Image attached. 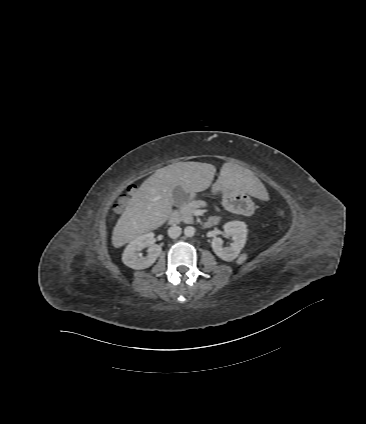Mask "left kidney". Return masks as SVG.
Returning a JSON list of instances; mask_svg holds the SVG:
<instances>
[{
    "instance_id": "1",
    "label": "left kidney",
    "mask_w": 366,
    "mask_h": 424,
    "mask_svg": "<svg viewBox=\"0 0 366 424\" xmlns=\"http://www.w3.org/2000/svg\"><path fill=\"white\" fill-rule=\"evenodd\" d=\"M224 232L232 237L233 242L229 247H223V240L220 237H214L211 247L214 253L224 261L230 262L236 259L243 249L247 238V226L240 221L228 222L224 225Z\"/></svg>"
}]
</instances>
